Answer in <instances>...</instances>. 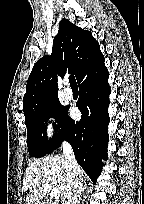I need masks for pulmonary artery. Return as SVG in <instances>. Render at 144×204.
I'll return each mask as SVG.
<instances>
[{
  "instance_id": "pulmonary-artery-1",
  "label": "pulmonary artery",
  "mask_w": 144,
  "mask_h": 204,
  "mask_svg": "<svg viewBox=\"0 0 144 204\" xmlns=\"http://www.w3.org/2000/svg\"><path fill=\"white\" fill-rule=\"evenodd\" d=\"M64 96L67 98V99H72L73 97V91L70 87H65L64 89Z\"/></svg>"
}]
</instances>
